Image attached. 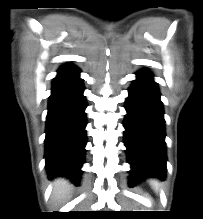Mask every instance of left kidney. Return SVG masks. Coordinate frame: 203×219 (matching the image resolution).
<instances>
[{
  "instance_id": "left-kidney-1",
  "label": "left kidney",
  "mask_w": 203,
  "mask_h": 219,
  "mask_svg": "<svg viewBox=\"0 0 203 219\" xmlns=\"http://www.w3.org/2000/svg\"><path fill=\"white\" fill-rule=\"evenodd\" d=\"M146 199L148 200V202H151V198L147 195H146Z\"/></svg>"
}]
</instances>
